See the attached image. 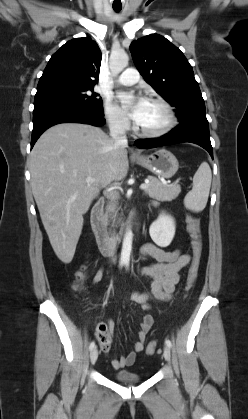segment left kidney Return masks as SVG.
<instances>
[{
  "label": "left kidney",
  "instance_id": "1",
  "mask_svg": "<svg viewBox=\"0 0 248 419\" xmlns=\"http://www.w3.org/2000/svg\"><path fill=\"white\" fill-rule=\"evenodd\" d=\"M149 233L154 243L158 246H169L175 235L174 219L164 213L160 214L157 220L151 224Z\"/></svg>",
  "mask_w": 248,
  "mask_h": 419
}]
</instances>
